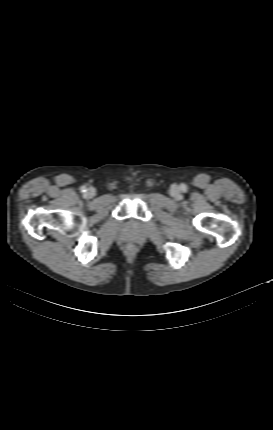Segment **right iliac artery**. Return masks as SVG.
<instances>
[{
	"label": "right iliac artery",
	"mask_w": 273,
	"mask_h": 430,
	"mask_svg": "<svg viewBox=\"0 0 273 430\" xmlns=\"http://www.w3.org/2000/svg\"><path fill=\"white\" fill-rule=\"evenodd\" d=\"M80 189H81V192L83 193L87 192V188L85 186H82Z\"/></svg>",
	"instance_id": "82829eb1"
}]
</instances>
